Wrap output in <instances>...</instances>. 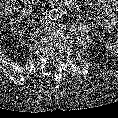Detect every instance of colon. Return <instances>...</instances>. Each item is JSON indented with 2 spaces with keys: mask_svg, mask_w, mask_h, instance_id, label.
<instances>
[{
  "mask_svg": "<svg viewBox=\"0 0 118 118\" xmlns=\"http://www.w3.org/2000/svg\"><path fill=\"white\" fill-rule=\"evenodd\" d=\"M31 10V0H5L1 12V18L10 15L23 16Z\"/></svg>",
  "mask_w": 118,
  "mask_h": 118,
  "instance_id": "colon-1",
  "label": "colon"
}]
</instances>
